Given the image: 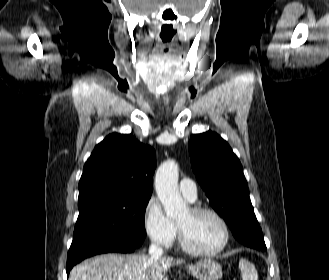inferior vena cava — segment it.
I'll use <instances>...</instances> for the list:
<instances>
[{
  "instance_id": "obj_1",
  "label": "inferior vena cava",
  "mask_w": 329,
  "mask_h": 280,
  "mask_svg": "<svg viewBox=\"0 0 329 280\" xmlns=\"http://www.w3.org/2000/svg\"><path fill=\"white\" fill-rule=\"evenodd\" d=\"M149 255L152 260H157L163 255V249L158 242L151 243L149 247Z\"/></svg>"
}]
</instances>
